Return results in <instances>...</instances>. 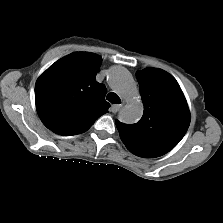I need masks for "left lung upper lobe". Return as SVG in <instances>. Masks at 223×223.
Here are the masks:
<instances>
[{"instance_id":"obj_1","label":"left lung upper lobe","mask_w":223,"mask_h":223,"mask_svg":"<svg viewBox=\"0 0 223 223\" xmlns=\"http://www.w3.org/2000/svg\"><path fill=\"white\" fill-rule=\"evenodd\" d=\"M144 104L141 120L132 125L115 121L120 137L133 154L145 158L164 155L185 135L190 113L184 94L169 73L147 68L137 72Z\"/></svg>"}]
</instances>
